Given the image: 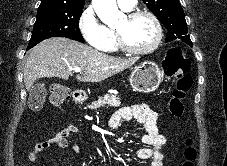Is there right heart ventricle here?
I'll use <instances>...</instances> for the list:
<instances>
[{
  "label": "right heart ventricle",
  "mask_w": 227,
  "mask_h": 166,
  "mask_svg": "<svg viewBox=\"0 0 227 166\" xmlns=\"http://www.w3.org/2000/svg\"><path fill=\"white\" fill-rule=\"evenodd\" d=\"M124 11H128V10H124ZM107 31H108L109 36H110V50H112L116 46L115 33H114L113 29L108 28V27H107Z\"/></svg>",
  "instance_id": "1"
}]
</instances>
